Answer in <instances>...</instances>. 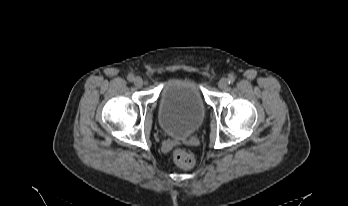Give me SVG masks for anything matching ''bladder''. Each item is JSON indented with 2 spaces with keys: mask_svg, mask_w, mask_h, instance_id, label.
<instances>
[{
  "mask_svg": "<svg viewBox=\"0 0 348 206\" xmlns=\"http://www.w3.org/2000/svg\"><path fill=\"white\" fill-rule=\"evenodd\" d=\"M205 102L199 83L189 77H172L162 88L159 118L170 136H187L201 124Z\"/></svg>",
  "mask_w": 348,
  "mask_h": 206,
  "instance_id": "obj_1",
  "label": "bladder"
}]
</instances>
